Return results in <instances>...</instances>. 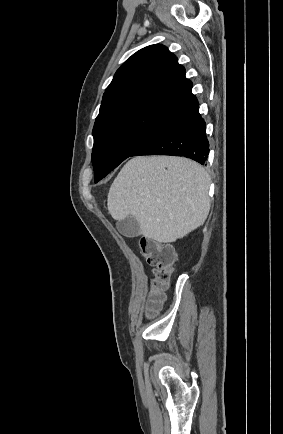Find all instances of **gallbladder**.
I'll return each instance as SVG.
<instances>
[{
  "mask_svg": "<svg viewBox=\"0 0 283 434\" xmlns=\"http://www.w3.org/2000/svg\"><path fill=\"white\" fill-rule=\"evenodd\" d=\"M117 228L126 237H137L141 234L139 222L132 216L117 222Z\"/></svg>",
  "mask_w": 283,
  "mask_h": 434,
  "instance_id": "1",
  "label": "gallbladder"
}]
</instances>
